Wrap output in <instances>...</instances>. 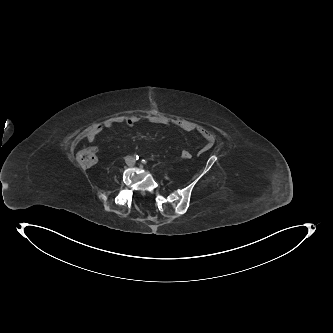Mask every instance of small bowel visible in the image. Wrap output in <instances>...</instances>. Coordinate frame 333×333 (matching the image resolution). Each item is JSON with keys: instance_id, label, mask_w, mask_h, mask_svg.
<instances>
[{"instance_id": "obj_1", "label": "small bowel", "mask_w": 333, "mask_h": 333, "mask_svg": "<svg viewBox=\"0 0 333 333\" xmlns=\"http://www.w3.org/2000/svg\"><path fill=\"white\" fill-rule=\"evenodd\" d=\"M139 118L136 116H130L125 119L115 118V119H107L100 124L92 127L85 135V138L88 142H94L97 137L103 132L105 129H110L116 124L124 123L129 127L135 126L139 122ZM148 120L155 124L167 125L170 122L164 118L159 117H150ZM175 124L182 130L186 132H197L205 141L204 146L200 150V154L208 151L214 143V136L203 126L198 125L194 122L188 120H177Z\"/></svg>"}]
</instances>
